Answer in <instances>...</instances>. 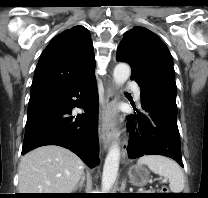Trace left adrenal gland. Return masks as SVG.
<instances>
[{
    "mask_svg": "<svg viewBox=\"0 0 208 198\" xmlns=\"http://www.w3.org/2000/svg\"><path fill=\"white\" fill-rule=\"evenodd\" d=\"M125 187H126V179H123V181H122V183H121V187H120V191H121V193H123V192H124Z\"/></svg>",
    "mask_w": 208,
    "mask_h": 198,
    "instance_id": "obj_1",
    "label": "left adrenal gland"
}]
</instances>
